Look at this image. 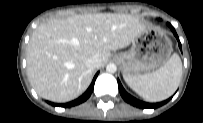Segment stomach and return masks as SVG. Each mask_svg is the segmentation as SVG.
I'll use <instances>...</instances> for the list:
<instances>
[{
  "mask_svg": "<svg viewBox=\"0 0 203 123\" xmlns=\"http://www.w3.org/2000/svg\"><path fill=\"white\" fill-rule=\"evenodd\" d=\"M172 43L164 32L147 28L132 41L129 51L115 55L124 75H138L162 67L170 59Z\"/></svg>",
  "mask_w": 203,
  "mask_h": 123,
  "instance_id": "obj_1",
  "label": "stomach"
}]
</instances>
